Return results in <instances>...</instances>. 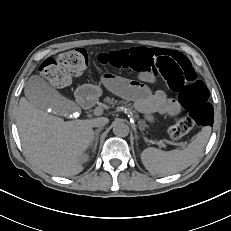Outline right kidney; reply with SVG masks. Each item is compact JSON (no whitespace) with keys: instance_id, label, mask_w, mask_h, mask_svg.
<instances>
[{"instance_id":"obj_1","label":"right kidney","mask_w":231,"mask_h":231,"mask_svg":"<svg viewBox=\"0 0 231 231\" xmlns=\"http://www.w3.org/2000/svg\"><path fill=\"white\" fill-rule=\"evenodd\" d=\"M82 159L84 160V161H86L87 160V156H82Z\"/></svg>"}]
</instances>
